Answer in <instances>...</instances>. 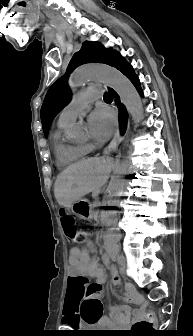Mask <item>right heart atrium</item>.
<instances>
[{
    "mask_svg": "<svg viewBox=\"0 0 193 336\" xmlns=\"http://www.w3.org/2000/svg\"><path fill=\"white\" fill-rule=\"evenodd\" d=\"M87 148L90 149V148H91V145H87Z\"/></svg>",
    "mask_w": 193,
    "mask_h": 336,
    "instance_id": "obj_1",
    "label": "right heart atrium"
}]
</instances>
